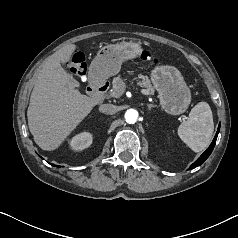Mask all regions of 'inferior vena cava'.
<instances>
[{"label": "inferior vena cava", "instance_id": "1", "mask_svg": "<svg viewBox=\"0 0 238 238\" xmlns=\"http://www.w3.org/2000/svg\"><path fill=\"white\" fill-rule=\"evenodd\" d=\"M99 111L106 114H115L117 109L115 105L112 104H103L99 107Z\"/></svg>", "mask_w": 238, "mask_h": 238}]
</instances>
